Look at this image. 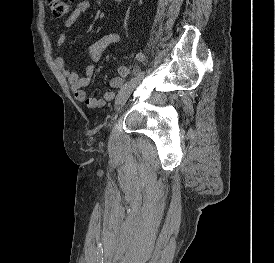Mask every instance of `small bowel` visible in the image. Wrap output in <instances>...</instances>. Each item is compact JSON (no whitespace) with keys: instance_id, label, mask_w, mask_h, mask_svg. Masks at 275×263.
<instances>
[{"instance_id":"c3829d8e","label":"small bowel","mask_w":275,"mask_h":263,"mask_svg":"<svg viewBox=\"0 0 275 263\" xmlns=\"http://www.w3.org/2000/svg\"><path fill=\"white\" fill-rule=\"evenodd\" d=\"M91 2L89 0L80 1L71 16L65 21L64 29L60 32L57 39V49L54 55V63L58 70L66 78L74 97L79 102H84L89 108L103 107L108 101H111L116 96V91L124 85L125 78L131 73L132 67L126 64L118 67V75L112 78L109 82L111 90L106 92L101 98L89 97L84 90L93 78L95 66L100 61L102 53L111 45H116L120 42L121 37L117 32L109 33L95 42H93L87 51L90 63L86 67L85 74L79 76L76 70H69L66 67L65 60L60 54V49L66 42L67 30L74 27L90 10Z\"/></svg>"}]
</instances>
